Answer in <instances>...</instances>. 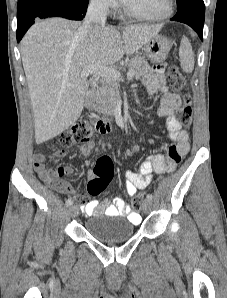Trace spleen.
I'll return each mask as SVG.
<instances>
[{"label": "spleen", "instance_id": "spleen-1", "mask_svg": "<svg viewBox=\"0 0 227 298\" xmlns=\"http://www.w3.org/2000/svg\"><path fill=\"white\" fill-rule=\"evenodd\" d=\"M180 65L184 72L191 73L194 69V53L187 37L181 39L179 48Z\"/></svg>", "mask_w": 227, "mask_h": 298}]
</instances>
